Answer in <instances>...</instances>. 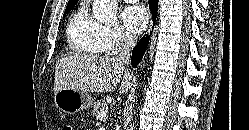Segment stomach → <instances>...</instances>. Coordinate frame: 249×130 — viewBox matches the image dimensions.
I'll list each match as a JSON object with an SVG mask.
<instances>
[{"mask_svg": "<svg viewBox=\"0 0 249 130\" xmlns=\"http://www.w3.org/2000/svg\"><path fill=\"white\" fill-rule=\"evenodd\" d=\"M54 101L56 107L66 114H75L93 104L90 94L72 89L60 90L55 94Z\"/></svg>", "mask_w": 249, "mask_h": 130, "instance_id": "obj_1", "label": "stomach"}]
</instances>
